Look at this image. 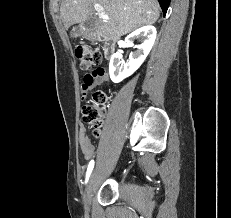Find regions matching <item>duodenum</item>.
<instances>
[{
  "label": "duodenum",
  "instance_id": "duodenum-1",
  "mask_svg": "<svg viewBox=\"0 0 231 218\" xmlns=\"http://www.w3.org/2000/svg\"><path fill=\"white\" fill-rule=\"evenodd\" d=\"M89 37L94 40H104V52L108 58L115 53L117 48V39L115 37H104L98 32H90Z\"/></svg>",
  "mask_w": 231,
  "mask_h": 218
}]
</instances>
